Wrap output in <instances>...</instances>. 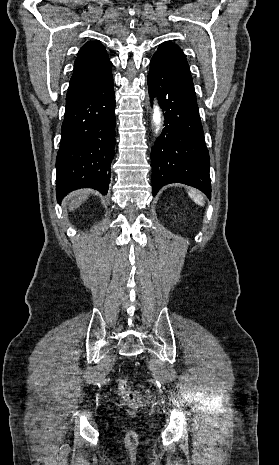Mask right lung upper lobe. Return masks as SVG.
<instances>
[{
    "label": "right lung upper lobe",
    "instance_id": "obj_1",
    "mask_svg": "<svg viewBox=\"0 0 279 465\" xmlns=\"http://www.w3.org/2000/svg\"><path fill=\"white\" fill-rule=\"evenodd\" d=\"M105 47L96 41L87 42L78 52L66 96V107L81 100L111 75Z\"/></svg>",
    "mask_w": 279,
    "mask_h": 465
}]
</instances>
